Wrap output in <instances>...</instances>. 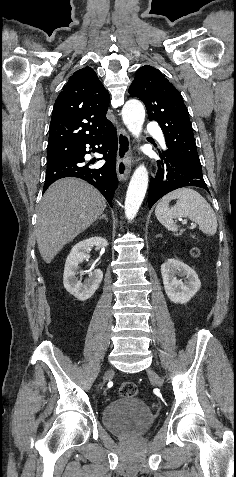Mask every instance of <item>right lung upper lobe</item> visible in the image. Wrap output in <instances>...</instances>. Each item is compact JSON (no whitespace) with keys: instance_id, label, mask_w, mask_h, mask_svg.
I'll return each mask as SVG.
<instances>
[{"instance_id":"1","label":"right lung upper lobe","mask_w":236,"mask_h":477,"mask_svg":"<svg viewBox=\"0 0 236 477\" xmlns=\"http://www.w3.org/2000/svg\"><path fill=\"white\" fill-rule=\"evenodd\" d=\"M109 94L90 67L76 71L57 97L48 140V159L69 157L82 143L104 130ZM60 162V161H58ZM58 162L48 161L47 165Z\"/></svg>"}]
</instances>
